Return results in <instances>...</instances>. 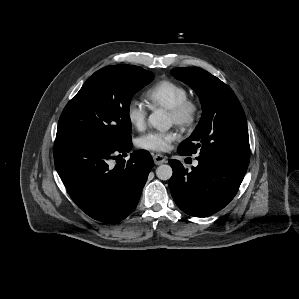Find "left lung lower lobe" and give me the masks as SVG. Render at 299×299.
Masks as SVG:
<instances>
[{
	"label": "left lung lower lobe",
	"mask_w": 299,
	"mask_h": 299,
	"mask_svg": "<svg viewBox=\"0 0 299 299\" xmlns=\"http://www.w3.org/2000/svg\"><path fill=\"white\" fill-rule=\"evenodd\" d=\"M178 153L183 155L179 151ZM198 161V166L189 172L180 161L169 160L173 169L169 188L182 211L191 216L206 217L224 208L234 198L247 167Z\"/></svg>",
	"instance_id": "left-lung-lower-lobe-1"
}]
</instances>
